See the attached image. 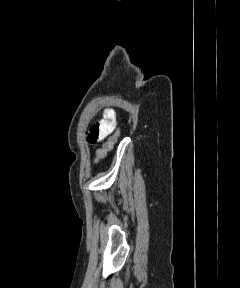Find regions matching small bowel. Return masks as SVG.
I'll return each mask as SVG.
<instances>
[{"label":"small bowel","mask_w":240,"mask_h":288,"mask_svg":"<svg viewBox=\"0 0 240 288\" xmlns=\"http://www.w3.org/2000/svg\"><path fill=\"white\" fill-rule=\"evenodd\" d=\"M116 128L115 112L111 109H106L103 112L102 119L94 124L87 135V141L96 143L110 135Z\"/></svg>","instance_id":"1"}]
</instances>
